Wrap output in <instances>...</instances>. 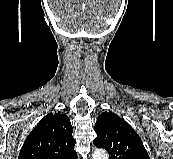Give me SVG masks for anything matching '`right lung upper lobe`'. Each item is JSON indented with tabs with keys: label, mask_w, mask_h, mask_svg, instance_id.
Here are the masks:
<instances>
[{
	"label": "right lung upper lobe",
	"mask_w": 173,
	"mask_h": 159,
	"mask_svg": "<svg viewBox=\"0 0 173 159\" xmlns=\"http://www.w3.org/2000/svg\"><path fill=\"white\" fill-rule=\"evenodd\" d=\"M72 132L68 116L49 113L28 135L18 159H77Z\"/></svg>",
	"instance_id": "obj_1"
}]
</instances>
